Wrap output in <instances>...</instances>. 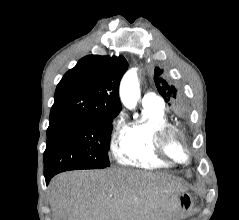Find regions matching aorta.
Masks as SVG:
<instances>
[{"label": "aorta", "instance_id": "obj_1", "mask_svg": "<svg viewBox=\"0 0 239 220\" xmlns=\"http://www.w3.org/2000/svg\"><path fill=\"white\" fill-rule=\"evenodd\" d=\"M140 97V87L136 69L129 70L120 84V98L124 106L134 109Z\"/></svg>", "mask_w": 239, "mask_h": 220}]
</instances>
